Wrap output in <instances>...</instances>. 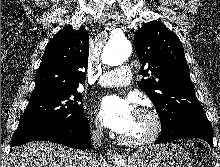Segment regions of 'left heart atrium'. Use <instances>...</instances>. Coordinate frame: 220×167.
Segmentation results:
<instances>
[{
    "mask_svg": "<svg viewBox=\"0 0 220 167\" xmlns=\"http://www.w3.org/2000/svg\"><path fill=\"white\" fill-rule=\"evenodd\" d=\"M97 112L106 127L120 134L130 128L135 116L131 100L116 95L100 98L97 103Z\"/></svg>",
    "mask_w": 220,
    "mask_h": 167,
    "instance_id": "obj_1",
    "label": "left heart atrium"
}]
</instances>
